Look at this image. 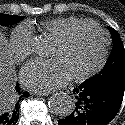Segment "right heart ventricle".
<instances>
[{
	"label": "right heart ventricle",
	"mask_w": 125,
	"mask_h": 125,
	"mask_svg": "<svg viewBox=\"0 0 125 125\" xmlns=\"http://www.w3.org/2000/svg\"><path fill=\"white\" fill-rule=\"evenodd\" d=\"M84 20L83 18L68 16V17H59L51 20H47L41 23V29L45 36L52 37L56 39L61 34H63L69 27L80 23Z\"/></svg>",
	"instance_id": "right-heart-ventricle-1"
}]
</instances>
